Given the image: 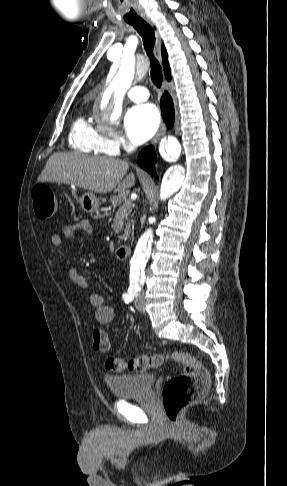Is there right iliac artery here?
<instances>
[{
    "mask_svg": "<svg viewBox=\"0 0 287 486\" xmlns=\"http://www.w3.org/2000/svg\"><path fill=\"white\" fill-rule=\"evenodd\" d=\"M139 290H140V288H138V287H130L129 290H128V293L123 295V298H124V300H125V298H127L129 296L132 297V298L128 299L125 302L132 301L134 299V297L138 295Z\"/></svg>",
    "mask_w": 287,
    "mask_h": 486,
    "instance_id": "right-iliac-artery-1",
    "label": "right iliac artery"
}]
</instances>
